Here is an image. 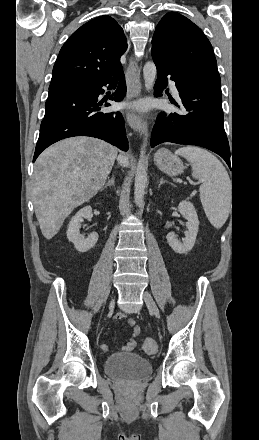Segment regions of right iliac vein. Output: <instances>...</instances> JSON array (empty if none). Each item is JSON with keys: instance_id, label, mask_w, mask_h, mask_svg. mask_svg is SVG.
Masks as SVG:
<instances>
[{"instance_id": "right-iliac-vein-1", "label": "right iliac vein", "mask_w": 259, "mask_h": 440, "mask_svg": "<svg viewBox=\"0 0 259 440\" xmlns=\"http://www.w3.org/2000/svg\"><path fill=\"white\" fill-rule=\"evenodd\" d=\"M114 307V299L111 300L109 304V309H112Z\"/></svg>"}]
</instances>
